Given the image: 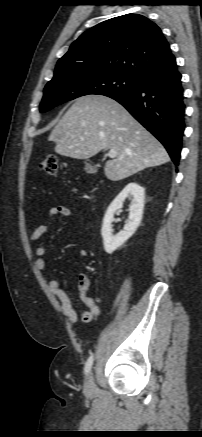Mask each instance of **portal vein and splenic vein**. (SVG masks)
<instances>
[{"label":"portal vein and splenic vein","instance_id":"portal-vein-and-splenic-vein-1","mask_svg":"<svg viewBox=\"0 0 202 437\" xmlns=\"http://www.w3.org/2000/svg\"><path fill=\"white\" fill-rule=\"evenodd\" d=\"M108 156H109L110 158H114V157L116 156V151H115V150H110V151L108 152Z\"/></svg>","mask_w":202,"mask_h":437}]
</instances>
